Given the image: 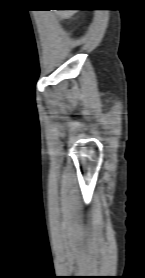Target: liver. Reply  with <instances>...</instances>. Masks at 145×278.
<instances>
[{"label": "liver", "instance_id": "liver-1", "mask_svg": "<svg viewBox=\"0 0 145 278\" xmlns=\"http://www.w3.org/2000/svg\"><path fill=\"white\" fill-rule=\"evenodd\" d=\"M76 11L73 10H65V11H58V16L62 19L70 18L75 14Z\"/></svg>", "mask_w": 145, "mask_h": 278}]
</instances>
